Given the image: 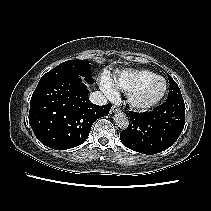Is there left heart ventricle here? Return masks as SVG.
I'll list each match as a JSON object with an SVG mask.
<instances>
[{"label": "left heart ventricle", "mask_w": 211, "mask_h": 211, "mask_svg": "<svg viewBox=\"0 0 211 211\" xmlns=\"http://www.w3.org/2000/svg\"><path fill=\"white\" fill-rule=\"evenodd\" d=\"M163 90V83L161 81H155L148 88H146L140 95L141 101H149L157 97Z\"/></svg>", "instance_id": "obj_1"}]
</instances>
